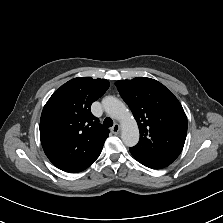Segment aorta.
Wrapping results in <instances>:
<instances>
[{
  "label": "aorta",
  "mask_w": 223,
  "mask_h": 223,
  "mask_svg": "<svg viewBox=\"0 0 223 223\" xmlns=\"http://www.w3.org/2000/svg\"><path fill=\"white\" fill-rule=\"evenodd\" d=\"M104 110L121 126V139L126 146H134L139 140V128L127 105L113 96H106L102 100Z\"/></svg>",
  "instance_id": "1"
}]
</instances>
